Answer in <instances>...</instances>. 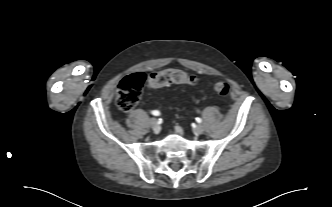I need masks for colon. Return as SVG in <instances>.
I'll list each match as a JSON object with an SVG mask.
<instances>
[{"label": "colon", "mask_w": 332, "mask_h": 207, "mask_svg": "<svg viewBox=\"0 0 332 207\" xmlns=\"http://www.w3.org/2000/svg\"><path fill=\"white\" fill-rule=\"evenodd\" d=\"M146 81V76L142 72H136L123 78L119 84L116 95V102L119 109L122 111H130L139 100L143 85ZM197 78L194 75H189L179 69H164L154 72L148 77V84L152 88H160L174 84H195ZM214 91L226 96L230 91V86L227 82H217L213 86Z\"/></svg>", "instance_id": "5ec220e1"}]
</instances>
